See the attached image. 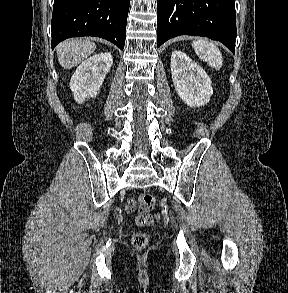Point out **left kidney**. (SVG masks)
Returning a JSON list of instances; mask_svg holds the SVG:
<instances>
[{"label": "left kidney", "mask_w": 288, "mask_h": 293, "mask_svg": "<svg viewBox=\"0 0 288 293\" xmlns=\"http://www.w3.org/2000/svg\"><path fill=\"white\" fill-rule=\"evenodd\" d=\"M172 80L179 97L190 107H200L209 102L213 94L207 73L181 51L171 55Z\"/></svg>", "instance_id": "1"}]
</instances>
